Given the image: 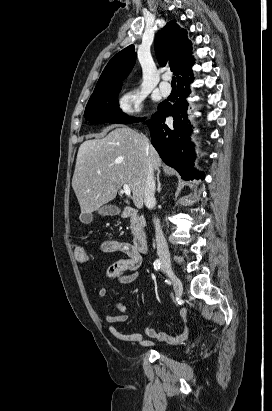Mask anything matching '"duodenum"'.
Here are the masks:
<instances>
[{
  "mask_svg": "<svg viewBox=\"0 0 272 411\" xmlns=\"http://www.w3.org/2000/svg\"><path fill=\"white\" fill-rule=\"evenodd\" d=\"M137 212L135 209L131 207H125L122 209L120 216L122 218H135ZM133 246L138 252H146L147 251V235L142 231H138L133 235Z\"/></svg>",
  "mask_w": 272,
  "mask_h": 411,
  "instance_id": "1",
  "label": "duodenum"
}]
</instances>
